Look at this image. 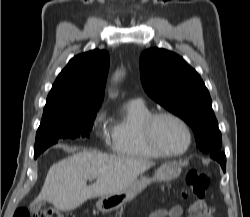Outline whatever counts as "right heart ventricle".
Listing matches in <instances>:
<instances>
[{"instance_id":"1","label":"right heart ventricle","mask_w":250,"mask_h":217,"mask_svg":"<svg viewBox=\"0 0 250 217\" xmlns=\"http://www.w3.org/2000/svg\"><path fill=\"white\" fill-rule=\"evenodd\" d=\"M152 113L142 101H129L122 113L112 121L110 126L111 148L118 155L139 158L157 159L161 156L146 142L142 125Z\"/></svg>"}]
</instances>
